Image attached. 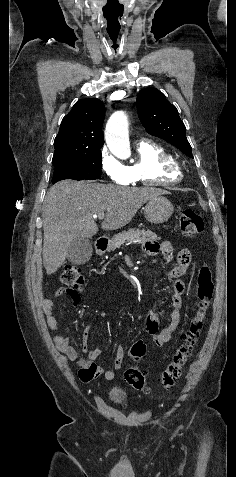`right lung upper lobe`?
<instances>
[{
	"instance_id": "obj_1",
	"label": "right lung upper lobe",
	"mask_w": 236,
	"mask_h": 477,
	"mask_svg": "<svg viewBox=\"0 0 236 477\" xmlns=\"http://www.w3.org/2000/svg\"><path fill=\"white\" fill-rule=\"evenodd\" d=\"M104 117L105 107L99 99L78 101L61 123L52 161L100 150Z\"/></svg>"
}]
</instances>
